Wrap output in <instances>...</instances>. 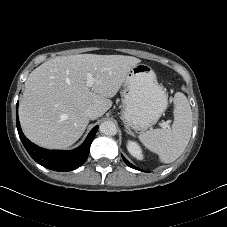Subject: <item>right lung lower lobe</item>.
Here are the masks:
<instances>
[{
	"instance_id": "obj_1",
	"label": "right lung lower lobe",
	"mask_w": 227,
	"mask_h": 227,
	"mask_svg": "<svg viewBox=\"0 0 227 227\" xmlns=\"http://www.w3.org/2000/svg\"><path fill=\"white\" fill-rule=\"evenodd\" d=\"M16 124L19 137L29 155L38 164L54 171H71L80 167L89 155L90 145L98 130V126H95L88 134L84 143L78 148L71 151H60L44 149L29 141L20 128L17 114Z\"/></svg>"
}]
</instances>
